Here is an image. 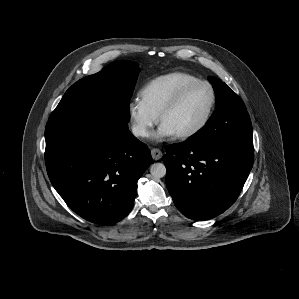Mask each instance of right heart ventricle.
Instances as JSON below:
<instances>
[{
	"label": "right heart ventricle",
	"instance_id": "1",
	"mask_svg": "<svg viewBox=\"0 0 299 299\" xmlns=\"http://www.w3.org/2000/svg\"><path fill=\"white\" fill-rule=\"evenodd\" d=\"M197 79L192 74L180 71L158 76L140 90V100L149 110L159 115L162 108L181 87Z\"/></svg>",
	"mask_w": 299,
	"mask_h": 299
}]
</instances>
